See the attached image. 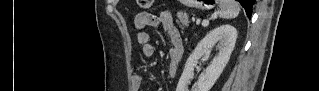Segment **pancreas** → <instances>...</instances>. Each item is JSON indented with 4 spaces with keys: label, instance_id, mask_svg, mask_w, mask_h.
I'll use <instances>...</instances> for the list:
<instances>
[{
    "label": "pancreas",
    "instance_id": "1",
    "mask_svg": "<svg viewBox=\"0 0 319 91\" xmlns=\"http://www.w3.org/2000/svg\"><path fill=\"white\" fill-rule=\"evenodd\" d=\"M178 20L177 23L179 24V27L184 29L185 27L189 26V21H188V15L183 13V12H179L177 14Z\"/></svg>",
    "mask_w": 319,
    "mask_h": 91
}]
</instances>
